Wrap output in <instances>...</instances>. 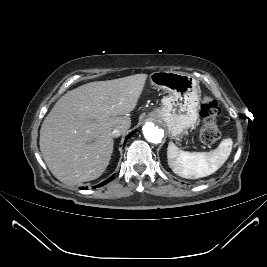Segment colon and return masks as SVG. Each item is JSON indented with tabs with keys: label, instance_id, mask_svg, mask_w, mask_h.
<instances>
[{
	"label": "colon",
	"instance_id": "1",
	"mask_svg": "<svg viewBox=\"0 0 267 267\" xmlns=\"http://www.w3.org/2000/svg\"><path fill=\"white\" fill-rule=\"evenodd\" d=\"M200 113L204 119L200 129V139L204 144H213L220 138V131L216 123L220 114L219 105L213 98L205 96L202 100Z\"/></svg>",
	"mask_w": 267,
	"mask_h": 267
}]
</instances>
